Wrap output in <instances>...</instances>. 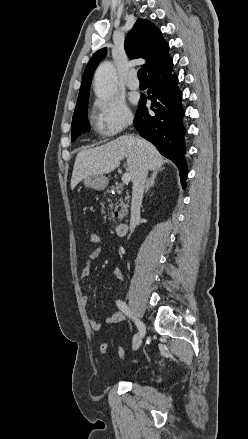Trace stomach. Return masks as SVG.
Instances as JSON below:
<instances>
[{
  "label": "stomach",
  "mask_w": 248,
  "mask_h": 439,
  "mask_svg": "<svg viewBox=\"0 0 248 439\" xmlns=\"http://www.w3.org/2000/svg\"><path fill=\"white\" fill-rule=\"evenodd\" d=\"M84 185L95 190H104L108 185V178L103 174L90 175L84 179Z\"/></svg>",
  "instance_id": "obj_1"
}]
</instances>
